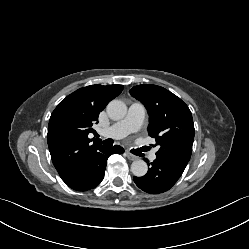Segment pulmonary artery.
<instances>
[{"label":"pulmonary artery","instance_id":"e3ab8cb5","mask_svg":"<svg viewBox=\"0 0 249 249\" xmlns=\"http://www.w3.org/2000/svg\"><path fill=\"white\" fill-rule=\"evenodd\" d=\"M146 110L140 103L130 105L126 116L107 129L101 130V135L120 139L139 130L144 122ZM156 159V151L150 154V160Z\"/></svg>","mask_w":249,"mask_h":249}]
</instances>
